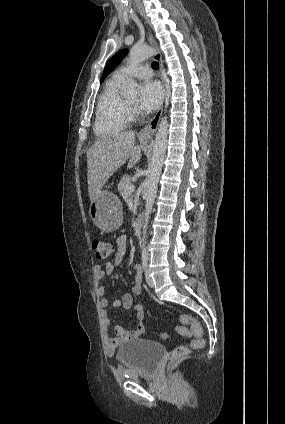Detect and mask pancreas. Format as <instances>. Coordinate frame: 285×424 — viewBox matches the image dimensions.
Instances as JSON below:
<instances>
[{"mask_svg": "<svg viewBox=\"0 0 285 424\" xmlns=\"http://www.w3.org/2000/svg\"><path fill=\"white\" fill-rule=\"evenodd\" d=\"M131 185L132 183H131V178L129 177V175L123 176L122 179L120 180L118 184V191L124 199L130 196L131 193L129 191V187Z\"/></svg>", "mask_w": 285, "mask_h": 424, "instance_id": "pancreas-1", "label": "pancreas"}]
</instances>
